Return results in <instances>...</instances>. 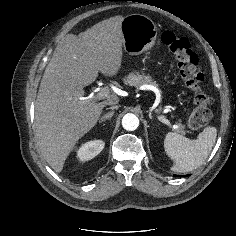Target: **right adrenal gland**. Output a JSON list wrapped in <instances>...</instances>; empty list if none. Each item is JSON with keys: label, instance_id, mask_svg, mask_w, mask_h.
<instances>
[{"label": "right adrenal gland", "instance_id": "right-adrenal-gland-1", "mask_svg": "<svg viewBox=\"0 0 236 236\" xmlns=\"http://www.w3.org/2000/svg\"><path fill=\"white\" fill-rule=\"evenodd\" d=\"M113 114H114V112H109V113H107L106 115H104V117H102V118L99 120V123L105 122L106 120H111Z\"/></svg>", "mask_w": 236, "mask_h": 236}]
</instances>
